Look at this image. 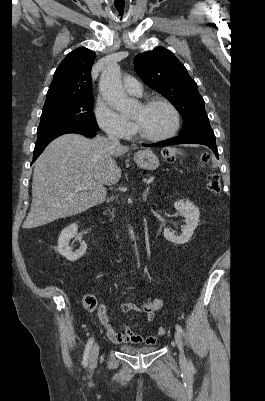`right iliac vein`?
<instances>
[{
  "instance_id": "right-iliac-vein-1",
  "label": "right iliac vein",
  "mask_w": 265,
  "mask_h": 401,
  "mask_svg": "<svg viewBox=\"0 0 265 401\" xmlns=\"http://www.w3.org/2000/svg\"><path fill=\"white\" fill-rule=\"evenodd\" d=\"M100 346L98 343H96L91 351L90 355V369H95L97 365V358H98V352H99Z\"/></svg>"
}]
</instances>
